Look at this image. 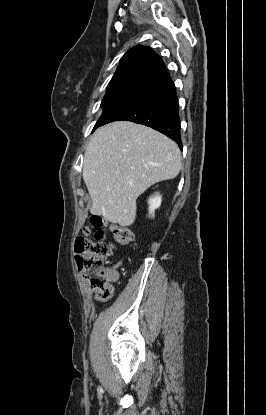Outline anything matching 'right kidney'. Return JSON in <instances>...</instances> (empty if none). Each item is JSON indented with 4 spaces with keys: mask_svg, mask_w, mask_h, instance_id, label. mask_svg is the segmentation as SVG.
Instances as JSON below:
<instances>
[{
    "mask_svg": "<svg viewBox=\"0 0 266 415\" xmlns=\"http://www.w3.org/2000/svg\"><path fill=\"white\" fill-rule=\"evenodd\" d=\"M161 196L159 194H156L149 198L148 204H149V214H151L154 217L155 209L159 208L161 205Z\"/></svg>",
    "mask_w": 266,
    "mask_h": 415,
    "instance_id": "right-kidney-1",
    "label": "right kidney"
}]
</instances>
